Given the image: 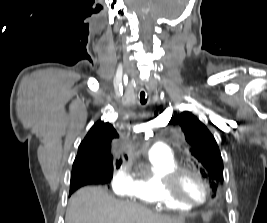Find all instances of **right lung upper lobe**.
<instances>
[{
  "label": "right lung upper lobe",
  "instance_id": "obj_1",
  "mask_svg": "<svg viewBox=\"0 0 267 223\" xmlns=\"http://www.w3.org/2000/svg\"><path fill=\"white\" fill-rule=\"evenodd\" d=\"M116 130L110 123L98 121L89 130L78 148L72 175L105 174V169L113 166L110 142L118 138Z\"/></svg>",
  "mask_w": 267,
  "mask_h": 223
}]
</instances>
